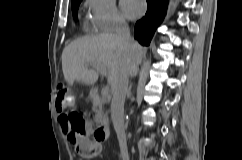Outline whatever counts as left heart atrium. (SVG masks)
Masks as SVG:
<instances>
[{"instance_id":"left-heart-atrium-1","label":"left heart atrium","mask_w":242,"mask_h":160,"mask_svg":"<svg viewBox=\"0 0 242 160\" xmlns=\"http://www.w3.org/2000/svg\"><path fill=\"white\" fill-rule=\"evenodd\" d=\"M121 7L129 18L139 17L145 11L143 0H121Z\"/></svg>"}]
</instances>
